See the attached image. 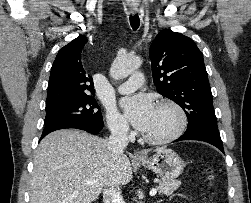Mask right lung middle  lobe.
Instances as JSON below:
<instances>
[{"instance_id":"obj_1","label":"right lung middle lobe","mask_w":251,"mask_h":203,"mask_svg":"<svg viewBox=\"0 0 251 203\" xmlns=\"http://www.w3.org/2000/svg\"><path fill=\"white\" fill-rule=\"evenodd\" d=\"M64 120H82L103 128L102 114L93 97L46 107L45 125Z\"/></svg>"}]
</instances>
